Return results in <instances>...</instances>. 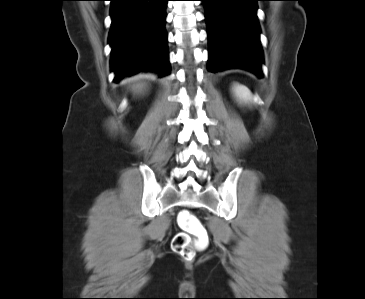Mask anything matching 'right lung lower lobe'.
Masks as SVG:
<instances>
[{"mask_svg":"<svg viewBox=\"0 0 365 299\" xmlns=\"http://www.w3.org/2000/svg\"><path fill=\"white\" fill-rule=\"evenodd\" d=\"M111 70L115 81L140 71L169 74L164 28L168 0H110Z\"/></svg>","mask_w":365,"mask_h":299,"instance_id":"obj_1","label":"right lung lower lobe"}]
</instances>
